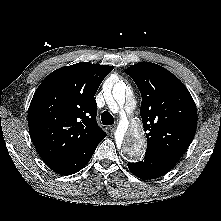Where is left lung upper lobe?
I'll use <instances>...</instances> for the list:
<instances>
[{
    "mask_svg": "<svg viewBox=\"0 0 221 221\" xmlns=\"http://www.w3.org/2000/svg\"><path fill=\"white\" fill-rule=\"evenodd\" d=\"M142 96L140 115L147 137L146 153L177 163L191 144L197 110L185 85L154 63L140 62L125 70Z\"/></svg>",
    "mask_w": 221,
    "mask_h": 221,
    "instance_id": "left-lung-upper-lobe-1",
    "label": "left lung upper lobe"
}]
</instances>
